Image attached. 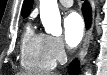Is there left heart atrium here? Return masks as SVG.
<instances>
[{
  "label": "left heart atrium",
  "mask_w": 107,
  "mask_h": 75,
  "mask_svg": "<svg viewBox=\"0 0 107 75\" xmlns=\"http://www.w3.org/2000/svg\"><path fill=\"white\" fill-rule=\"evenodd\" d=\"M64 35L70 47H76L84 35V23L81 16L75 12L69 13L64 20Z\"/></svg>",
  "instance_id": "39dd6f15"
}]
</instances>
